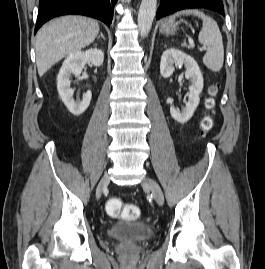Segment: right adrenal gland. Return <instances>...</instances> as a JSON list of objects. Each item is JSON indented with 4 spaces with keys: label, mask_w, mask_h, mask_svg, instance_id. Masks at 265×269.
Returning <instances> with one entry per match:
<instances>
[{
    "label": "right adrenal gland",
    "mask_w": 265,
    "mask_h": 269,
    "mask_svg": "<svg viewBox=\"0 0 265 269\" xmlns=\"http://www.w3.org/2000/svg\"><path fill=\"white\" fill-rule=\"evenodd\" d=\"M100 38H102L105 41V37L102 32H100V35L97 37V39H100Z\"/></svg>",
    "instance_id": "2a0ac1e0"
}]
</instances>
